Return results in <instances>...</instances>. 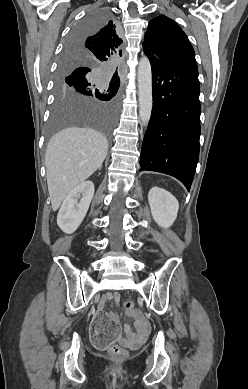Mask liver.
<instances>
[{
  "label": "liver",
  "mask_w": 248,
  "mask_h": 389,
  "mask_svg": "<svg viewBox=\"0 0 248 389\" xmlns=\"http://www.w3.org/2000/svg\"><path fill=\"white\" fill-rule=\"evenodd\" d=\"M107 149L106 137L91 128L71 127L51 138L46 148L45 167L53 211L71 190L101 167Z\"/></svg>",
  "instance_id": "liver-1"
}]
</instances>
